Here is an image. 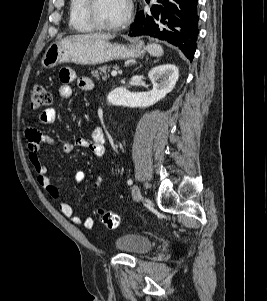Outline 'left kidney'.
<instances>
[{"label": "left kidney", "instance_id": "obj_1", "mask_svg": "<svg viewBox=\"0 0 267 301\" xmlns=\"http://www.w3.org/2000/svg\"><path fill=\"white\" fill-rule=\"evenodd\" d=\"M153 89L150 92L135 96L124 87L112 90L108 96V103L116 106H141L149 107L171 92L179 78L178 67L173 64H165L154 67L148 73Z\"/></svg>", "mask_w": 267, "mask_h": 301}]
</instances>
